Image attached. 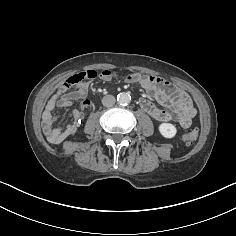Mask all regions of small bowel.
Here are the masks:
<instances>
[{"label":"small bowel","instance_id":"c3829d8e","mask_svg":"<svg viewBox=\"0 0 236 236\" xmlns=\"http://www.w3.org/2000/svg\"><path fill=\"white\" fill-rule=\"evenodd\" d=\"M136 75H138L136 81H129L127 77L125 81L140 83L148 96L155 98L157 102L165 107L159 108L148 98H142L140 106L145 112L156 121L168 122L173 120L182 128L190 127L196 109L185 91L157 76L144 77L140 74ZM96 76L97 73L94 70L74 74L65 79L58 91L48 100L42 114V128L49 142L58 144L77 131L84 118L83 110L94 106L91 100L84 98L89 90L88 81ZM101 77L109 79V77L102 74ZM80 99H84L81 103V109H72V102ZM56 108L71 109L72 122L62 126H54L58 119L53 114Z\"/></svg>","mask_w":236,"mask_h":236}]
</instances>
